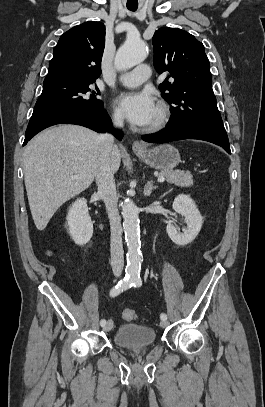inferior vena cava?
<instances>
[{
	"label": "inferior vena cava",
	"instance_id": "obj_1",
	"mask_svg": "<svg viewBox=\"0 0 265 407\" xmlns=\"http://www.w3.org/2000/svg\"><path fill=\"white\" fill-rule=\"evenodd\" d=\"M113 125L116 128L123 126V119L114 116ZM100 145L99 163L97 166L95 178L98 186V194L102 197L111 228V266L115 276H120L124 267V251L122 245V227L121 219L117 209V193L114 180L113 167L111 165V154L114 151V137L109 133L98 136Z\"/></svg>",
	"mask_w": 265,
	"mask_h": 407
}]
</instances>
